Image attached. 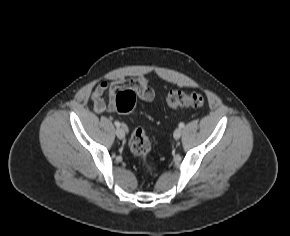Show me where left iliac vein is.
Segmentation results:
<instances>
[{"instance_id": "left-iliac-vein-1", "label": "left iliac vein", "mask_w": 290, "mask_h": 236, "mask_svg": "<svg viewBox=\"0 0 290 236\" xmlns=\"http://www.w3.org/2000/svg\"><path fill=\"white\" fill-rule=\"evenodd\" d=\"M182 135V129L181 128H177L175 129L174 133H173V137L175 139H179Z\"/></svg>"}]
</instances>
